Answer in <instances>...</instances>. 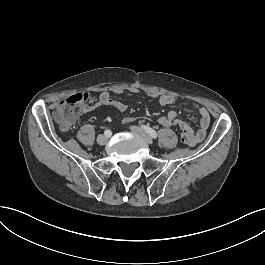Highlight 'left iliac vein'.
<instances>
[{
	"instance_id": "4c4485c4",
	"label": "left iliac vein",
	"mask_w": 265,
	"mask_h": 265,
	"mask_svg": "<svg viewBox=\"0 0 265 265\" xmlns=\"http://www.w3.org/2000/svg\"><path fill=\"white\" fill-rule=\"evenodd\" d=\"M130 129L138 136H140L146 144L148 145L152 144V139L141 128L136 126H130Z\"/></svg>"
}]
</instances>
